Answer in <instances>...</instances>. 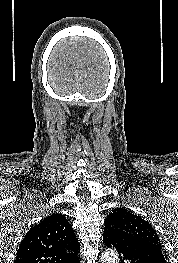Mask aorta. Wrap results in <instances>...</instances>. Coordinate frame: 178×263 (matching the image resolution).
<instances>
[{
    "label": "aorta",
    "mask_w": 178,
    "mask_h": 263,
    "mask_svg": "<svg viewBox=\"0 0 178 263\" xmlns=\"http://www.w3.org/2000/svg\"><path fill=\"white\" fill-rule=\"evenodd\" d=\"M119 261V256L113 249L106 250L101 257V263H119Z\"/></svg>",
    "instance_id": "obj_1"
}]
</instances>
